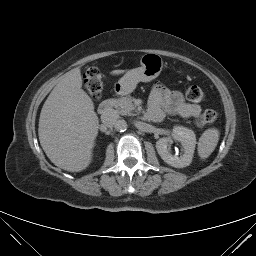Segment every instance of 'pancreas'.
<instances>
[{"label": "pancreas", "mask_w": 256, "mask_h": 256, "mask_svg": "<svg viewBox=\"0 0 256 256\" xmlns=\"http://www.w3.org/2000/svg\"><path fill=\"white\" fill-rule=\"evenodd\" d=\"M112 106L122 115H134L132 111L135 110V106L130 96L112 100Z\"/></svg>", "instance_id": "obj_1"}]
</instances>
